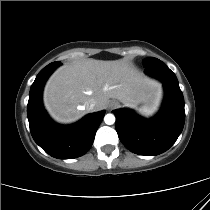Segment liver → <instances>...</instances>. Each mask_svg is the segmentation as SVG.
<instances>
[{
    "label": "liver",
    "mask_w": 210,
    "mask_h": 210,
    "mask_svg": "<svg viewBox=\"0 0 210 210\" xmlns=\"http://www.w3.org/2000/svg\"><path fill=\"white\" fill-rule=\"evenodd\" d=\"M162 94L161 85L120 61L87 59L57 69L44 88V105L58 122L71 123L89 110L86 103L93 99V111L107 107L109 99L126 106L140 103L156 105Z\"/></svg>",
    "instance_id": "obj_1"
}]
</instances>
